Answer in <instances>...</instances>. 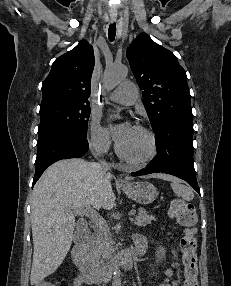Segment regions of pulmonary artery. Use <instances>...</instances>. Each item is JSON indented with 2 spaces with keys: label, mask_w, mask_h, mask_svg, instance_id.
<instances>
[{
  "label": "pulmonary artery",
  "mask_w": 231,
  "mask_h": 286,
  "mask_svg": "<svg viewBox=\"0 0 231 286\" xmlns=\"http://www.w3.org/2000/svg\"><path fill=\"white\" fill-rule=\"evenodd\" d=\"M109 99L123 105L134 104L138 99L137 88L132 82L124 81L109 95Z\"/></svg>",
  "instance_id": "1"
}]
</instances>
